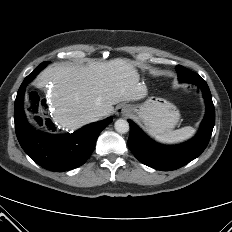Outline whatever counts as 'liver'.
I'll return each mask as SVG.
<instances>
[{"mask_svg": "<svg viewBox=\"0 0 232 232\" xmlns=\"http://www.w3.org/2000/svg\"><path fill=\"white\" fill-rule=\"evenodd\" d=\"M139 79L131 62L117 58L108 62L89 61L86 66H50L39 74L36 86L43 88L52 82L49 100L53 121L74 131L90 123L93 112L110 115L117 103L145 98L147 87Z\"/></svg>", "mask_w": 232, "mask_h": 232, "instance_id": "obj_1", "label": "liver"}]
</instances>
